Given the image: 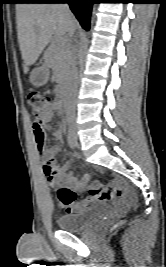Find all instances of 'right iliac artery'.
<instances>
[{"mask_svg": "<svg viewBox=\"0 0 166 267\" xmlns=\"http://www.w3.org/2000/svg\"><path fill=\"white\" fill-rule=\"evenodd\" d=\"M67 141L71 148H74L76 146V141L74 140V137L72 136L69 130L67 134Z\"/></svg>", "mask_w": 166, "mask_h": 267, "instance_id": "1", "label": "right iliac artery"}]
</instances>
